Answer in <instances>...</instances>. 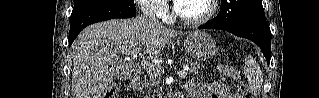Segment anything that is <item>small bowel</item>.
Returning <instances> with one entry per match:
<instances>
[{"mask_svg":"<svg viewBox=\"0 0 319 98\" xmlns=\"http://www.w3.org/2000/svg\"><path fill=\"white\" fill-rule=\"evenodd\" d=\"M187 90L193 98H239L233 94L230 87L224 83L201 84L190 79L186 84Z\"/></svg>","mask_w":319,"mask_h":98,"instance_id":"obj_1","label":"small bowel"}]
</instances>
